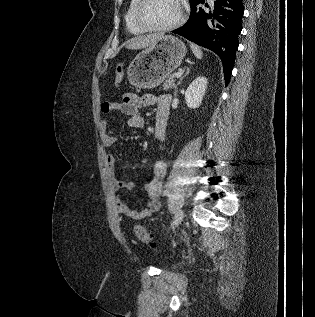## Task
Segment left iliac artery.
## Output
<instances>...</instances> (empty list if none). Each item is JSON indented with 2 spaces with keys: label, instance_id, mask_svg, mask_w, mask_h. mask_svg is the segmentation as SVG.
I'll list each match as a JSON object with an SVG mask.
<instances>
[{
  "label": "left iliac artery",
  "instance_id": "44dca946",
  "mask_svg": "<svg viewBox=\"0 0 315 317\" xmlns=\"http://www.w3.org/2000/svg\"><path fill=\"white\" fill-rule=\"evenodd\" d=\"M164 195H169V191H165V192H164Z\"/></svg>",
  "mask_w": 315,
  "mask_h": 317
}]
</instances>
